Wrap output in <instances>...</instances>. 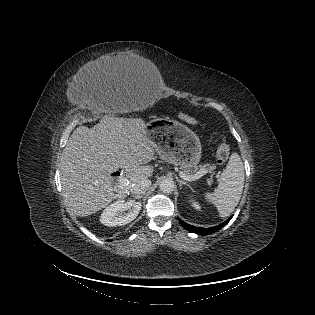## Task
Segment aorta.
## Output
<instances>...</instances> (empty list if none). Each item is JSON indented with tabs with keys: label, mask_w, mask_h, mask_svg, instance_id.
Returning <instances> with one entry per match:
<instances>
[{
	"label": "aorta",
	"mask_w": 315,
	"mask_h": 315,
	"mask_svg": "<svg viewBox=\"0 0 315 315\" xmlns=\"http://www.w3.org/2000/svg\"><path fill=\"white\" fill-rule=\"evenodd\" d=\"M174 186H175L174 182L172 180L167 179V180H163L160 183L159 189L161 192L169 194L173 192Z\"/></svg>",
	"instance_id": "1"
}]
</instances>
